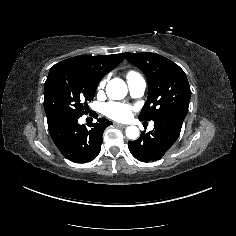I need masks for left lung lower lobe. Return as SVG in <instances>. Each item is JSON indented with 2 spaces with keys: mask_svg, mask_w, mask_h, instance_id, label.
Masks as SVG:
<instances>
[{
  "mask_svg": "<svg viewBox=\"0 0 236 236\" xmlns=\"http://www.w3.org/2000/svg\"><path fill=\"white\" fill-rule=\"evenodd\" d=\"M184 119L182 114L170 113L153 120L152 131H143L139 139L128 142L130 152L142 162L161 159L178 139Z\"/></svg>",
  "mask_w": 236,
  "mask_h": 236,
  "instance_id": "obj_1",
  "label": "left lung lower lobe"
}]
</instances>
